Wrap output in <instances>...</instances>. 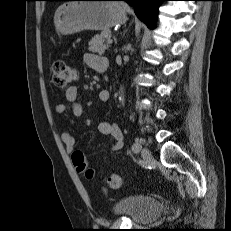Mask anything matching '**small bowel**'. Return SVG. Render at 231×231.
<instances>
[{
    "instance_id": "1",
    "label": "small bowel",
    "mask_w": 231,
    "mask_h": 231,
    "mask_svg": "<svg viewBox=\"0 0 231 231\" xmlns=\"http://www.w3.org/2000/svg\"><path fill=\"white\" fill-rule=\"evenodd\" d=\"M85 63L97 71V68L102 64H107V60L103 57L93 54L85 55ZM66 100L72 104L71 112L74 117L80 118L83 115V107L78 102V89L76 86H71L65 90ZM99 100L102 103H108L110 101V93L108 90H101L99 92ZM68 105L65 102H60L56 105L55 111L58 114L66 113ZM98 131L101 134L108 135L112 141V150L117 151L123 147V134L116 123H110L106 121L99 122L97 126ZM61 140L65 145L67 151L72 152L75 148V138L70 131H64L61 134Z\"/></svg>"
}]
</instances>
